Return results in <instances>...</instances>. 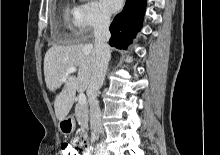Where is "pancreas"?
<instances>
[{"instance_id": "obj_1", "label": "pancreas", "mask_w": 220, "mask_h": 155, "mask_svg": "<svg viewBox=\"0 0 220 155\" xmlns=\"http://www.w3.org/2000/svg\"><path fill=\"white\" fill-rule=\"evenodd\" d=\"M75 117L83 132L88 126V106L77 103L75 106Z\"/></svg>"}]
</instances>
